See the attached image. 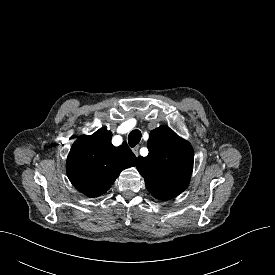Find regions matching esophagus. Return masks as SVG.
Returning a JSON list of instances; mask_svg holds the SVG:
<instances>
[{"mask_svg":"<svg viewBox=\"0 0 275 275\" xmlns=\"http://www.w3.org/2000/svg\"><path fill=\"white\" fill-rule=\"evenodd\" d=\"M139 148H140L139 146H135L134 148H132V151L136 157H138L139 155Z\"/></svg>","mask_w":275,"mask_h":275,"instance_id":"34e87169","label":"esophagus"}]
</instances>
